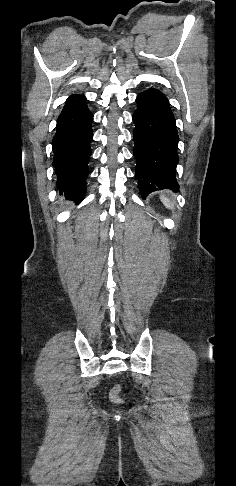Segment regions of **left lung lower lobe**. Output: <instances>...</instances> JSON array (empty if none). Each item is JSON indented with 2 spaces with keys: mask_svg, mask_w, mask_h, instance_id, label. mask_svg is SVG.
<instances>
[{
  "mask_svg": "<svg viewBox=\"0 0 236 486\" xmlns=\"http://www.w3.org/2000/svg\"><path fill=\"white\" fill-rule=\"evenodd\" d=\"M136 102L133 153L142 198L161 189L178 191L175 169L179 137L169 101L161 91L150 88L141 92Z\"/></svg>",
  "mask_w": 236,
  "mask_h": 486,
  "instance_id": "1",
  "label": "left lung lower lobe"
}]
</instances>
